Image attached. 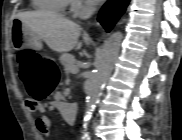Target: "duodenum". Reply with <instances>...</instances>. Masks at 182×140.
Instances as JSON below:
<instances>
[{"instance_id": "410a0bca", "label": "duodenum", "mask_w": 182, "mask_h": 140, "mask_svg": "<svg viewBox=\"0 0 182 140\" xmlns=\"http://www.w3.org/2000/svg\"><path fill=\"white\" fill-rule=\"evenodd\" d=\"M59 110L61 113L65 116V118L70 121L74 122L77 112H78V107L76 104H66L63 103L60 107Z\"/></svg>"}]
</instances>
